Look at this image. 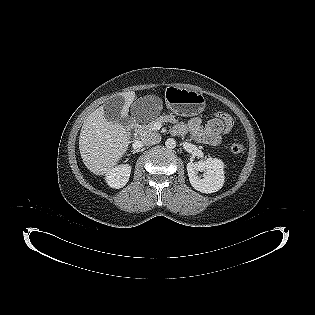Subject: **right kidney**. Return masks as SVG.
I'll return each mask as SVG.
<instances>
[{"mask_svg": "<svg viewBox=\"0 0 315 315\" xmlns=\"http://www.w3.org/2000/svg\"><path fill=\"white\" fill-rule=\"evenodd\" d=\"M131 167L129 165H120L113 168L106 175V182L112 188H122L129 180Z\"/></svg>", "mask_w": 315, "mask_h": 315, "instance_id": "obj_1", "label": "right kidney"}]
</instances>
